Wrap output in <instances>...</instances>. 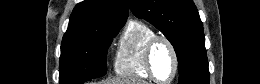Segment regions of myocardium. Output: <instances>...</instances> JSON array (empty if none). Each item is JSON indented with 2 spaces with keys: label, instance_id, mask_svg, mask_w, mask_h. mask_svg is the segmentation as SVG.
I'll use <instances>...</instances> for the list:
<instances>
[{
  "label": "myocardium",
  "instance_id": "obj_1",
  "mask_svg": "<svg viewBox=\"0 0 260 84\" xmlns=\"http://www.w3.org/2000/svg\"><path fill=\"white\" fill-rule=\"evenodd\" d=\"M160 42L165 43L169 47L172 57H173V72H172L171 77L166 81L159 80L157 78L154 68H153V54H154L156 46ZM145 67H146V70H147L150 78L157 83L168 84V83H171L176 78V76L178 74V70H179V56H178V52H177L175 45L167 36L161 35V34H155L148 41V43L146 45V51H145Z\"/></svg>",
  "mask_w": 260,
  "mask_h": 84
}]
</instances>
